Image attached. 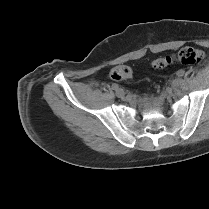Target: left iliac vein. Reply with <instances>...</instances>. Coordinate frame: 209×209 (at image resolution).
I'll list each match as a JSON object with an SVG mask.
<instances>
[{
    "label": "left iliac vein",
    "mask_w": 209,
    "mask_h": 209,
    "mask_svg": "<svg viewBox=\"0 0 209 209\" xmlns=\"http://www.w3.org/2000/svg\"><path fill=\"white\" fill-rule=\"evenodd\" d=\"M182 82H183V79H182L180 76H177V77L174 79V85H175V86H180Z\"/></svg>",
    "instance_id": "left-iliac-vein-1"
}]
</instances>
